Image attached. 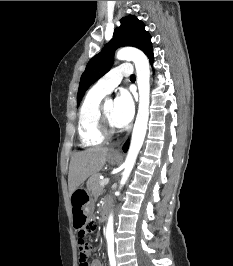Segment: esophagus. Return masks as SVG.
<instances>
[{"instance_id": "1", "label": "esophagus", "mask_w": 233, "mask_h": 266, "mask_svg": "<svg viewBox=\"0 0 233 266\" xmlns=\"http://www.w3.org/2000/svg\"><path fill=\"white\" fill-rule=\"evenodd\" d=\"M120 150L119 149H116V150H113L112 153L113 154H119Z\"/></svg>"}]
</instances>
